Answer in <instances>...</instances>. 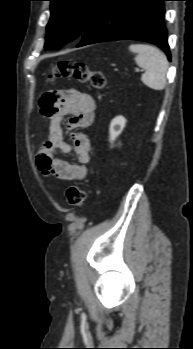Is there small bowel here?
I'll list each match as a JSON object with an SVG mask.
<instances>
[{"label":"small bowel","instance_id":"1","mask_svg":"<svg viewBox=\"0 0 193 349\" xmlns=\"http://www.w3.org/2000/svg\"><path fill=\"white\" fill-rule=\"evenodd\" d=\"M42 114L49 119L47 136L40 142L37 165L45 174L64 181L82 180L87 176V165L91 158V144L88 136L75 130L89 127L94 120L95 101L87 93L77 89L59 91L54 112ZM71 131V143L65 141L63 123ZM74 153L77 163H69L57 154Z\"/></svg>","mask_w":193,"mask_h":349}]
</instances>
